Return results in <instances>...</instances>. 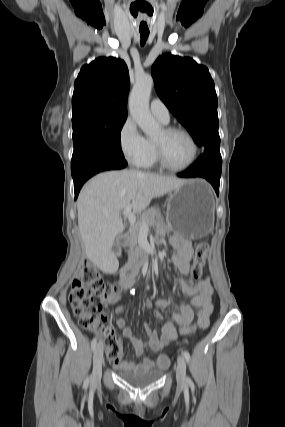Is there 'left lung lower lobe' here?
Returning a JSON list of instances; mask_svg holds the SVG:
<instances>
[{"label": "left lung lower lobe", "instance_id": "0a47b994", "mask_svg": "<svg viewBox=\"0 0 285 427\" xmlns=\"http://www.w3.org/2000/svg\"><path fill=\"white\" fill-rule=\"evenodd\" d=\"M222 168V158L220 153H204L186 171L178 173L179 177H203L206 178L219 193V183Z\"/></svg>", "mask_w": 285, "mask_h": 427}]
</instances>
